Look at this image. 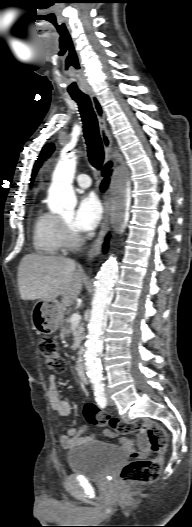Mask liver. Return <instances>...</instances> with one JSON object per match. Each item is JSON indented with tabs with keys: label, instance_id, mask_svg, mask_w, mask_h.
Returning a JSON list of instances; mask_svg holds the SVG:
<instances>
[{
	"label": "liver",
	"instance_id": "liver-1",
	"mask_svg": "<svg viewBox=\"0 0 192 527\" xmlns=\"http://www.w3.org/2000/svg\"><path fill=\"white\" fill-rule=\"evenodd\" d=\"M84 273L74 260L31 253L18 267V287L23 300H51L61 295V306L69 307L82 290Z\"/></svg>",
	"mask_w": 192,
	"mask_h": 527
}]
</instances>
